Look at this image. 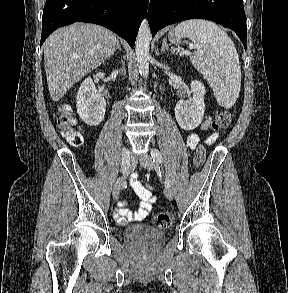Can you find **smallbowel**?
<instances>
[{"label": "small bowel", "instance_id": "c3829d8e", "mask_svg": "<svg viewBox=\"0 0 288 293\" xmlns=\"http://www.w3.org/2000/svg\"><path fill=\"white\" fill-rule=\"evenodd\" d=\"M211 122V117H207L206 120L201 125V130H207L209 128ZM218 138V134H213L208 139V143L211 144L215 142ZM199 142V136L195 133H191L186 138V143L190 149H195L196 145ZM131 186L136 194V196L140 200V208L132 212L127 208V202H121L118 214L116 216V220L120 224H125L128 220H142L144 219L150 210L152 209V204L155 202L156 197L152 192V188L147 185L143 184L137 180V175L134 174L131 181Z\"/></svg>", "mask_w": 288, "mask_h": 293}]
</instances>
